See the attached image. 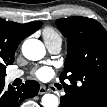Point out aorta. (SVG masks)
<instances>
[{
  "instance_id": "obj_1",
  "label": "aorta",
  "mask_w": 107,
  "mask_h": 107,
  "mask_svg": "<svg viewBox=\"0 0 107 107\" xmlns=\"http://www.w3.org/2000/svg\"><path fill=\"white\" fill-rule=\"evenodd\" d=\"M22 53L28 60L37 61L45 56L46 50L41 41L28 39L22 45ZM42 105L44 107H58V97L54 94H45L42 97Z\"/></svg>"
}]
</instances>
